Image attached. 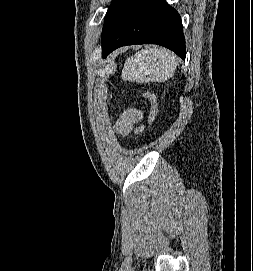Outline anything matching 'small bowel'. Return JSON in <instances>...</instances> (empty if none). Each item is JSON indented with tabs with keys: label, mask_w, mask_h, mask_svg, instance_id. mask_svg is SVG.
<instances>
[{
	"label": "small bowel",
	"mask_w": 253,
	"mask_h": 271,
	"mask_svg": "<svg viewBox=\"0 0 253 271\" xmlns=\"http://www.w3.org/2000/svg\"><path fill=\"white\" fill-rule=\"evenodd\" d=\"M142 118V112L135 108L126 109L118 118L115 128L122 136H139L143 131V126H136Z\"/></svg>",
	"instance_id": "c3829d8e"
}]
</instances>
